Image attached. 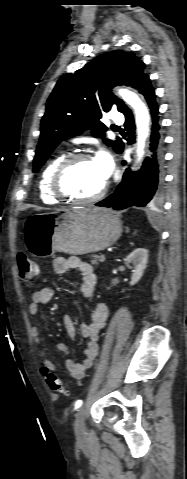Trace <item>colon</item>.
<instances>
[{
  "mask_svg": "<svg viewBox=\"0 0 187 479\" xmlns=\"http://www.w3.org/2000/svg\"><path fill=\"white\" fill-rule=\"evenodd\" d=\"M17 264L19 276L23 282H31L38 273L37 263L24 253L18 255ZM45 380L53 392L62 395H67L69 393L66 383L54 373L46 372Z\"/></svg>",
  "mask_w": 187,
  "mask_h": 479,
  "instance_id": "1",
  "label": "colon"
}]
</instances>
